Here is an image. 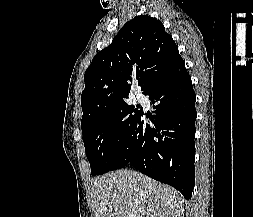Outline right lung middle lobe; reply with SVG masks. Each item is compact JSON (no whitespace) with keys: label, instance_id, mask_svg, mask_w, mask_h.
I'll use <instances>...</instances> for the list:
<instances>
[{"label":"right lung middle lobe","instance_id":"1","mask_svg":"<svg viewBox=\"0 0 253 217\" xmlns=\"http://www.w3.org/2000/svg\"><path fill=\"white\" fill-rule=\"evenodd\" d=\"M125 102L100 112L81 124L86 156L93 176L113 169L130 130L141 114ZM117 134L121 141L117 142Z\"/></svg>","mask_w":253,"mask_h":217}]
</instances>
